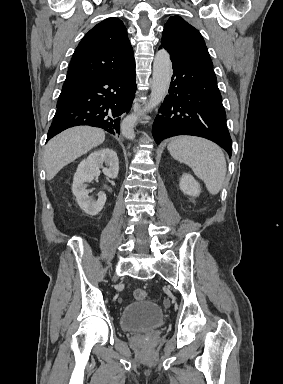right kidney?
I'll return each instance as SVG.
<instances>
[{"label": "right kidney", "instance_id": "obj_1", "mask_svg": "<svg viewBox=\"0 0 283 384\" xmlns=\"http://www.w3.org/2000/svg\"><path fill=\"white\" fill-rule=\"evenodd\" d=\"M105 164L107 168H103ZM100 168L107 178H117L119 172V160L116 152L110 148H102L92 152L86 160L80 162L76 174H74L72 192L76 196V200L85 214L89 216H97L101 212L105 202L106 194H99L98 200L89 198L91 190H86L87 182H92L95 176H100Z\"/></svg>", "mask_w": 283, "mask_h": 384}]
</instances>
